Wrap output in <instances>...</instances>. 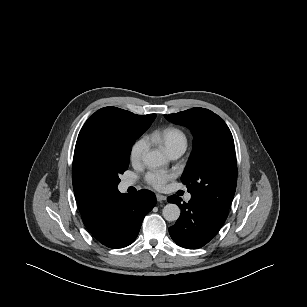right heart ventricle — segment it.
Returning a JSON list of instances; mask_svg holds the SVG:
<instances>
[{"instance_id": "e07e8e85", "label": "right heart ventricle", "mask_w": 307, "mask_h": 307, "mask_svg": "<svg viewBox=\"0 0 307 307\" xmlns=\"http://www.w3.org/2000/svg\"><path fill=\"white\" fill-rule=\"evenodd\" d=\"M151 139L161 144L169 154L179 149L185 150L187 147L185 132L176 127L155 130L151 134Z\"/></svg>"}]
</instances>
